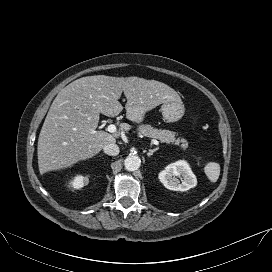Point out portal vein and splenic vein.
<instances>
[{
  "instance_id": "obj_1",
  "label": "portal vein and splenic vein",
  "mask_w": 272,
  "mask_h": 272,
  "mask_svg": "<svg viewBox=\"0 0 272 272\" xmlns=\"http://www.w3.org/2000/svg\"><path fill=\"white\" fill-rule=\"evenodd\" d=\"M107 130L110 133H116L117 132V128H116V126L114 124L108 125ZM151 142L153 144H155V145H159V142L156 139H152Z\"/></svg>"
}]
</instances>
